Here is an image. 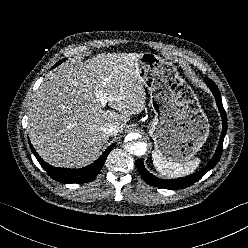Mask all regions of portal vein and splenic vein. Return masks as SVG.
I'll return each instance as SVG.
<instances>
[{"instance_id":"18ae733b","label":"portal vein and splenic vein","mask_w":248,"mask_h":248,"mask_svg":"<svg viewBox=\"0 0 248 248\" xmlns=\"http://www.w3.org/2000/svg\"><path fill=\"white\" fill-rule=\"evenodd\" d=\"M98 97H100V101H101V106H105L107 104V99L103 97V95L98 94Z\"/></svg>"}]
</instances>
